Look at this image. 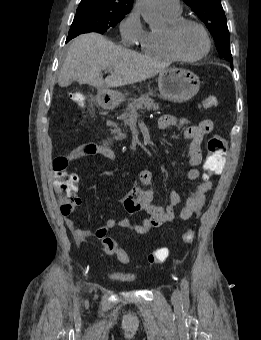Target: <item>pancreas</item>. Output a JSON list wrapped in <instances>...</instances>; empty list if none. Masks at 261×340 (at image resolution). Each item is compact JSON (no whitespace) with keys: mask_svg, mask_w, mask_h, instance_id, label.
Instances as JSON below:
<instances>
[{"mask_svg":"<svg viewBox=\"0 0 261 340\" xmlns=\"http://www.w3.org/2000/svg\"><path fill=\"white\" fill-rule=\"evenodd\" d=\"M154 93L150 91L147 94H142L139 98H133L131 103H129L126 110L121 115V119L124 122V125L127 126L130 123V116L135 113L139 109H147V110H158L159 105L154 102L150 96H153ZM111 133L117 134L113 138L115 140H123L126 138V134L122 133L120 129L115 128L111 130Z\"/></svg>","mask_w":261,"mask_h":340,"instance_id":"obj_1","label":"pancreas"}]
</instances>
